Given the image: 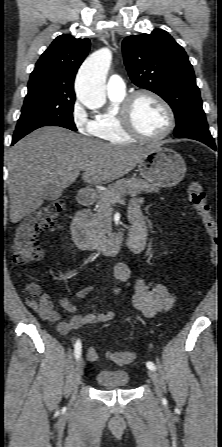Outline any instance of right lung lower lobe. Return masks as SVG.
<instances>
[{
    "label": "right lung lower lobe",
    "instance_id": "98d812e1",
    "mask_svg": "<svg viewBox=\"0 0 222 447\" xmlns=\"http://www.w3.org/2000/svg\"><path fill=\"white\" fill-rule=\"evenodd\" d=\"M18 140H16V139H13L12 140V145L15 143V142H17Z\"/></svg>",
    "mask_w": 222,
    "mask_h": 447
}]
</instances>
